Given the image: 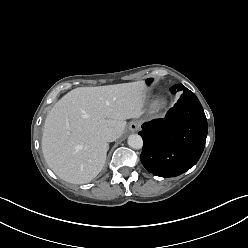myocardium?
I'll use <instances>...</instances> for the list:
<instances>
[{"label":"myocardium","mask_w":248,"mask_h":248,"mask_svg":"<svg viewBox=\"0 0 248 248\" xmlns=\"http://www.w3.org/2000/svg\"><path fill=\"white\" fill-rule=\"evenodd\" d=\"M164 103H165V101H164L163 99H160V100H157V101L155 102V106H156V107H161V106L164 105Z\"/></svg>","instance_id":"myocardium-1"}]
</instances>
